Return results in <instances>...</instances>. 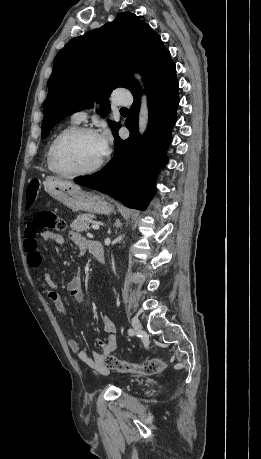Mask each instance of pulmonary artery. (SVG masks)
Returning <instances> with one entry per match:
<instances>
[{"label": "pulmonary artery", "mask_w": 261, "mask_h": 459, "mask_svg": "<svg viewBox=\"0 0 261 459\" xmlns=\"http://www.w3.org/2000/svg\"><path fill=\"white\" fill-rule=\"evenodd\" d=\"M113 101L116 105H129L131 103V97L122 91H116L113 96ZM88 110H81L73 113L72 120L80 123L86 121L88 117Z\"/></svg>", "instance_id": "e3ab8cb5"}]
</instances>
